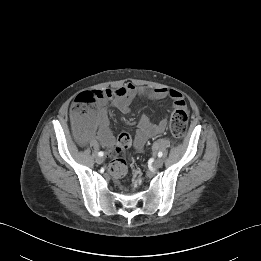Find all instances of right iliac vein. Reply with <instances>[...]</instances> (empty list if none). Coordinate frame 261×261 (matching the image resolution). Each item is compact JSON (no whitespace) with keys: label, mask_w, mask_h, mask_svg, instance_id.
<instances>
[{"label":"right iliac vein","mask_w":261,"mask_h":261,"mask_svg":"<svg viewBox=\"0 0 261 261\" xmlns=\"http://www.w3.org/2000/svg\"><path fill=\"white\" fill-rule=\"evenodd\" d=\"M96 162H97V164H102L104 162V158L103 157H97Z\"/></svg>","instance_id":"obj_1"}]
</instances>
